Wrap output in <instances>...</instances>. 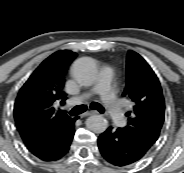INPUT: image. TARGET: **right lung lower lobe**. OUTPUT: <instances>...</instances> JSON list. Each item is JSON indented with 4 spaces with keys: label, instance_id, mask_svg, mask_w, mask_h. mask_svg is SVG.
I'll use <instances>...</instances> for the list:
<instances>
[{
    "label": "right lung lower lobe",
    "instance_id": "98d812e1",
    "mask_svg": "<svg viewBox=\"0 0 184 173\" xmlns=\"http://www.w3.org/2000/svg\"><path fill=\"white\" fill-rule=\"evenodd\" d=\"M75 118L46 131L34 134L23 141L26 147L44 161L62 158L69 150L73 136Z\"/></svg>",
    "mask_w": 184,
    "mask_h": 173
}]
</instances>
